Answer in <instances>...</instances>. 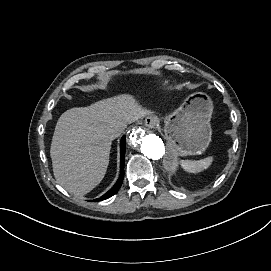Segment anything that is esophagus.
Masks as SVG:
<instances>
[{
    "label": "esophagus",
    "mask_w": 271,
    "mask_h": 271,
    "mask_svg": "<svg viewBox=\"0 0 271 271\" xmlns=\"http://www.w3.org/2000/svg\"><path fill=\"white\" fill-rule=\"evenodd\" d=\"M158 124V117L156 115H149L145 118V126L148 128H155Z\"/></svg>",
    "instance_id": "esophagus-1"
}]
</instances>
